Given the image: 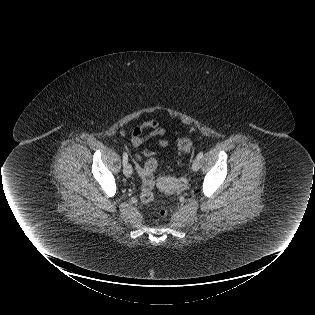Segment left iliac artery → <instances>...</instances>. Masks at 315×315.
<instances>
[{
    "label": "left iliac artery",
    "instance_id": "1",
    "mask_svg": "<svg viewBox=\"0 0 315 315\" xmlns=\"http://www.w3.org/2000/svg\"><path fill=\"white\" fill-rule=\"evenodd\" d=\"M202 157H203V152L201 151V152L198 153L197 158L201 159Z\"/></svg>",
    "mask_w": 315,
    "mask_h": 315
}]
</instances>
